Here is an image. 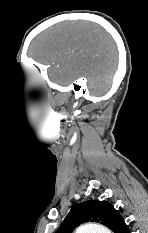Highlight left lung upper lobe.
Masks as SVG:
<instances>
[{
	"label": "left lung upper lobe",
	"instance_id": "5c2ea615",
	"mask_svg": "<svg viewBox=\"0 0 148 233\" xmlns=\"http://www.w3.org/2000/svg\"><path fill=\"white\" fill-rule=\"evenodd\" d=\"M84 222H98L114 233H126L128 227L119 212L107 201H85L75 204L56 233H71Z\"/></svg>",
	"mask_w": 148,
	"mask_h": 233
}]
</instances>
